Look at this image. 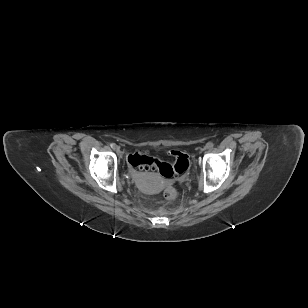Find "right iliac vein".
Masks as SVG:
<instances>
[{
	"mask_svg": "<svg viewBox=\"0 0 308 308\" xmlns=\"http://www.w3.org/2000/svg\"><path fill=\"white\" fill-rule=\"evenodd\" d=\"M114 150L117 152V154H118L119 156L122 155V154H121V151H120V148H119L118 146H116V147L114 148Z\"/></svg>",
	"mask_w": 308,
	"mask_h": 308,
	"instance_id": "obj_1",
	"label": "right iliac vein"
}]
</instances>
